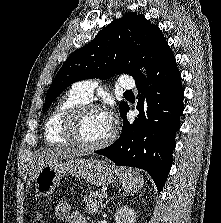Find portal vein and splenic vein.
Here are the masks:
<instances>
[{"instance_id": "1", "label": "portal vein and splenic vein", "mask_w": 221, "mask_h": 223, "mask_svg": "<svg viewBox=\"0 0 221 223\" xmlns=\"http://www.w3.org/2000/svg\"><path fill=\"white\" fill-rule=\"evenodd\" d=\"M103 196L106 197L107 196V193L106 192H103Z\"/></svg>"}]
</instances>
